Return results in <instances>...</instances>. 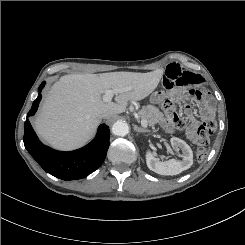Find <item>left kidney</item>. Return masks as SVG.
I'll return each instance as SVG.
<instances>
[{
    "instance_id": "left-kidney-1",
    "label": "left kidney",
    "mask_w": 245,
    "mask_h": 245,
    "mask_svg": "<svg viewBox=\"0 0 245 245\" xmlns=\"http://www.w3.org/2000/svg\"><path fill=\"white\" fill-rule=\"evenodd\" d=\"M171 146L181 151L179 156L181 160L170 159L168 161H160L150 150L146 152V163L150 170L160 175H177L184 170L189 169L193 164V152L190 146L183 140L172 137L170 139Z\"/></svg>"
}]
</instances>
